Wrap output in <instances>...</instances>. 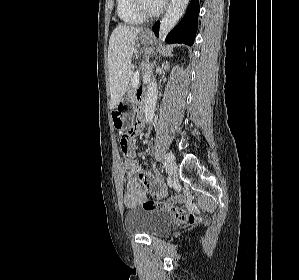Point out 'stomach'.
I'll return each instance as SVG.
<instances>
[{
    "label": "stomach",
    "mask_w": 299,
    "mask_h": 280,
    "mask_svg": "<svg viewBox=\"0 0 299 280\" xmlns=\"http://www.w3.org/2000/svg\"><path fill=\"white\" fill-rule=\"evenodd\" d=\"M139 40L144 45H149L153 41V36L151 33L143 32ZM129 99H122L112 111V121L117 129L126 128L131 121V113L125 110V107L129 105Z\"/></svg>",
    "instance_id": "obj_1"
}]
</instances>
